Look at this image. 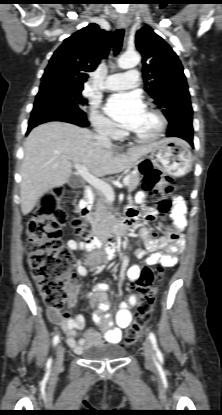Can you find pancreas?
<instances>
[{
	"label": "pancreas",
	"mask_w": 222,
	"mask_h": 415,
	"mask_svg": "<svg viewBox=\"0 0 222 415\" xmlns=\"http://www.w3.org/2000/svg\"><path fill=\"white\" fill-rule=\"evenodd\" d=\"M129 177H130V180H129L127 187H128V191L132 192L139 185L140 174L138 171H136L134 174H130ZM99 220H101V224L103 226L111 225L112 222L114 221V215L110 211L109 201L106 198L103 199V205L101 206L100 215L92 218L91 220L92 225L96 226Z\"/></svg>",
	"instance_id": "cf45deb5"
}]
</instances>
